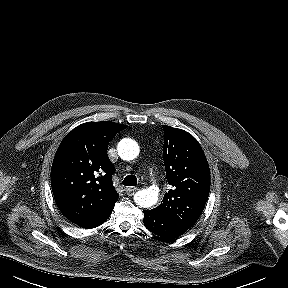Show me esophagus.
<instances>
[{
  "instance_id": "esophagus-1",
  "label": "esophagus",
  "mask_w": 288,
  "mask_h": 288,
  "mask_svg": "<svg viewBox=\"0 0 288 288\" xmlns=\"http://www.w3.org/2000/svg\"><path fill=\"white\" fill-rule=\"evenodd\" d=\"M139 188L138 187H126L125 191L127 194H132L134 192H136Z\"/></svg>"
}]
</instances>
